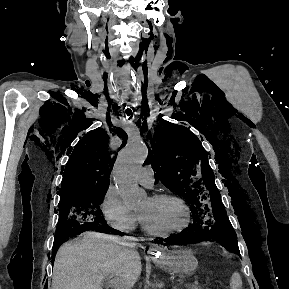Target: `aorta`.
Listing matches in <instances>:
<instances>
[{
    "label": "aorta",
    "instance_id": "aorta-1",
    "mask_svg": "<svg viewBox=\"0 0 289 289\" xmlns=\"http://www.w3.org/2000/svg\"><path fill=\"white\" fill-rule=\"evenodd\" d=\"M147 156V147L139 138L130 140L117 156L113 178L128 207H138L147 198L146 192L135 181L136 174L146 161Z\"/></svg>",
    "mask_w": 289,
    "mask_h": 289
}]
</instances>
